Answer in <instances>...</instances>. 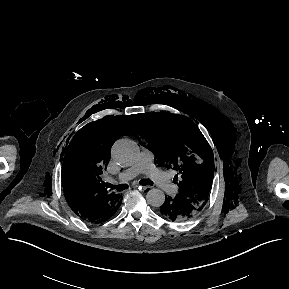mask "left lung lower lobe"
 <instances>
[{
    "mask_svg": "<svg viewBox=\"0 0 289 289\" xmlns=\"http://www.w3.org/2000/svg\"><path fill=\"white\" fill-rule=\"evenodd\" d=\"M199 211L200 209L178 195L175 197L165 196V202L160 206L161 214L172 221L188 220Z\"/></svg>",
    "mask_w": 289,
    "mask_h": 289,
    "instance_id": "1",
    "label": "left lung lower lobe"
}]
</instances>
